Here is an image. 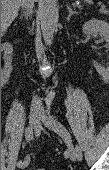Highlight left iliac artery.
<instances>
[{"mask_svg":"<svg viewBox=\"0 0 109 170\" xmlns=\"http://www.w3.org/2000/svg\"><path fill=\"white\" fill-rule=\"evenodd\" d=\"M76 152H77L78 160H82V152H81V149L78 146H76Z\"/></svg>","mask_w":109,"mask_h":170,"instance_id":"1","label":"left iliac artery"}]
</instances>
